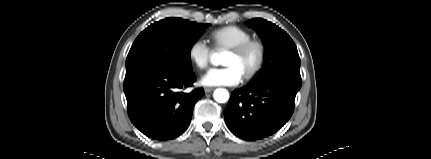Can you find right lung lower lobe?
I'll list each match as a JSON object with an SVG mask.
<instances>
[{
    "mask_svg": "<svg viewBox=\"0 0 431 159\" xmlns=\"http://www.w3.org/2000/svg\"><path fill=\"white\" fill-rule=\"evenodd\" d=\"M192 71L149 62L126 71L124 92L131 122L154 140L175 139L188 128L195 103L203 88L190 93L179 91L192 86Z\"/></svg>",
    "mask_w": 431,
    "mask_h": 159,
    "instance_id": "right-lung-lower-lobe-1",
    "label": "right lung lower lobe"
}]
</instances>
